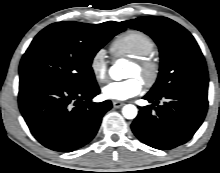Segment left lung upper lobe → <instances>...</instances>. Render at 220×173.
Returning a JSON list of instances; mask_svg holds the SVG:
<instances>
[{"label": "left lung upper lobe", "mask_w": 220, "mask_h": 173, "mask_svg": "<svg viewBox=\"0 0 220 173\" xmlns=\"http://www.w3.org/2000/svg\"><path fill=\"white\" fill-rule=\"evenodd\" d=\"M123 24L148 34L159 47V75L149 94L163 95L178 89L208 90L205 59L194 37L184 27L157 16L140 17Z\"/></svg>", "instance_id": "left-lung-upper-lobe-1"}]
</instances>
